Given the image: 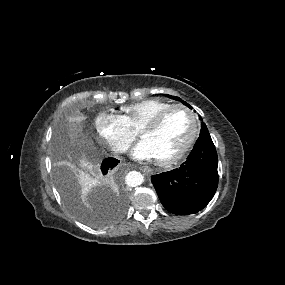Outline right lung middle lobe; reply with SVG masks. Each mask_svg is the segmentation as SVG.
Here are the masks:
<instances>
[{
    "mask_svg": "<svg viewBox=\"0 0 285 285\" xmlns=\"http://www.w3.org/2000/svg\"><path fill=\"white\" fill-rule=\"evenodd\" d=\"M56 179L58 182L61 195L68 205V207L82 220L94 226H105L107 222L102 221L99 218L86 214L80 207L77 199V193L75 188L68 178L66 172L61 167L57 169Z\"/></svg>",
    "mask_w": 285,
    "mask_h": 285,
    "instance_id": "dd1d6c3e",
    "label": "right lung middle lobe"
}]
</instances>
